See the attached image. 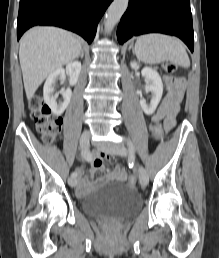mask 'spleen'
Segmentation results:
<instances>
[{"label": "spleen", "mask_w": 219, "mask_h": 258, "mask_svg": "<svg viewBox=\"0 0 219 258\" xmlns=\"http://www.w3.org/2000/svg\"><path fill=\"white\" fill-rule=\"evenodd\" d=\"M134 53L140 61L149 64L171 61L185 68L190 66L184 44L175 37L163 34L151 33L138 37Z\"/></svg>", "instance_id": "3e777b00"}]
</instances>
